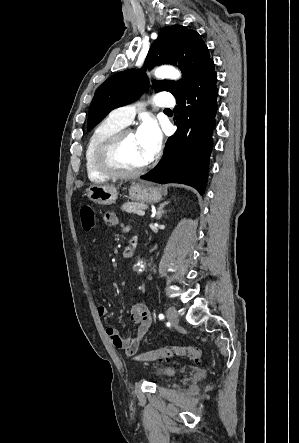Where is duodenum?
<instances>
[{
    "instance_id": "410a0bca",
    "label": "duodenum",
    "mask_w": 299,
    "mask_h": 443,
    "mask_svg": "<svg viewBox=\"0 0 299 443\" xmlns=\"http://www.w3.org/2000/svg\"><path fill=\"white\" fill-rule=\"evenodd\" d=\"M137 243L135 240H132L129 245L123 250L122 256L124 258L130 257L136 249Z\"/></svg>"
}]
</instances>
